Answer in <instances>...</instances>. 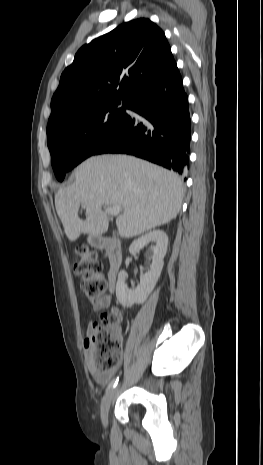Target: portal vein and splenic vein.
<instances>
[{"mask_svg":"<svg viewBox=\"0 0 263 465\" xmlns=\"http://www.w3.org/2000/svg\"><path fill=\"white\" fill-rule=\"evenodd\" d=\"M105 211L111 216H117L122 211V207L120 205L108 206Z\"/></svg>","mask_w":263,"mask_h":465,"instance_id":"portal-vein-and-splenic-vein-1","label":"portal vein and splenic vein"}]
</instances>
